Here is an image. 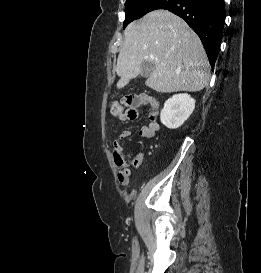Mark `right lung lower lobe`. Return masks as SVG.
I'll return each instance as SVG.
<instances>
[{"mask_svg":"<svg viewBox=\"0 0 261 273\" xmlns=\"http://www.w3.org/2000/svg\"><path fill=\"white\" fill-rule=\"evenodd\" d=\"M147 7L148 11L166 9L183 18L200 37L214 67L223 36L224 0H155Z\"/></svg>","mask_w":261,"mask_h":273,"instance_id":"1","label":"right lung lower lobe"}]
</instances>
